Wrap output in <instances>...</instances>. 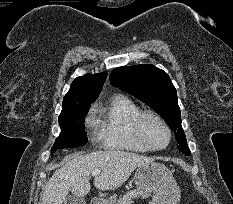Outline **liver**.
Wrapping results in <instances>:
<instances>
[{"mask_svg": "<svg viewBox=\"0 0 233 204\" xmlns=\"http://www.w3.org/2000/svg\"><path fill=\"white\" fill-rule=\"evenodd\" d=\"M153 162L152 158L131 152L95 151L73 157L57 169L44 190L39 204H63L69 192L83 197L90 191V174L99 169L93 184L100 190L119 188L139 166Z\"/></svg>", "mask_w": 233, "mask_h": 204, "instance_id": "obj_1", "label": "liver"}]
</instances>
